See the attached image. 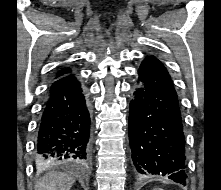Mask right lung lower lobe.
<instances>
[{"instance_id": "98d812e1", "label": "right lung lower lobe", "mask_w": 221, "mask_h": 190, "mask_svg": "<svg viewBox=\"0 0 221 190\" xmlns=\"http://www.w3.org/2000/svg\"><path fill=\"white\" fill-rule=\"evenodd\" d=\"M90 113L83 86L68 74L52 82L37 126L35 150L45 164L84 166L90 158Z\"/></svg>"}]
</instances>
